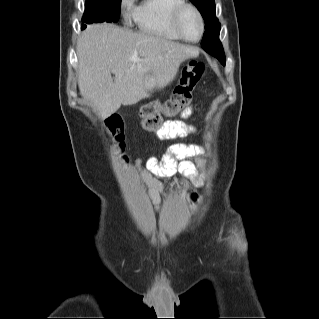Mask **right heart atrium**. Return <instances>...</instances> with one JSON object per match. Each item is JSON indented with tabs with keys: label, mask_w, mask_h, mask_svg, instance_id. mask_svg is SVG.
Wrapping results in <instances>:
<instances>
[{
	"label": "right heart atrium",
	"mask_w": 319,
	"mask_h": 319,
	"mask_svg": "<svg viewBox=\"0 0 319 319\" xmlns=\"http://www.w3.org/2000/svg\"><path fill=\"white\" fill-rule=\"evenodd\" d=\"M132 2H133V0H122L123 6H129L132 4Z\"/></svg>",
	"instance_id": "1"
}]
</instances>
